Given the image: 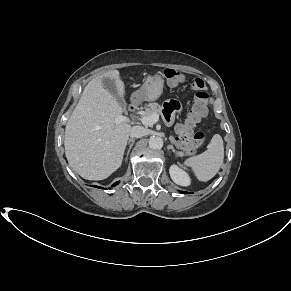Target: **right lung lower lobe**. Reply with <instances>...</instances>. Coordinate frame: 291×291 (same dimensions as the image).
Instances as JSON below:
<instances>
[{
	"label": "right lung lower lobe",
	"instance_id": "right-lung-lower-lobe-1",
	"mask_svg": "<svg viewBox=\"0 0 291 291\" xmlns=\"http://www.w3.org/2000/svg\"><path fill=\"white\" fill-rule=\"evenodd\" d=\"M117 184H119V182L114 183L113 186H116ZM96 187H97V188H100V187H98V186H96Z\"/></svg>",
	"mask_w": 291,
	"mask_h": 291
}]
</instances>
